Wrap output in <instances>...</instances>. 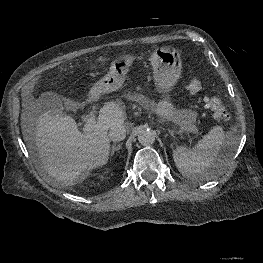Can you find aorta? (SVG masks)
<instances>
[{
    "label": "aorta",
    "mask_w": 263,
    "mask_h": 263,
    "mask_svg": "<svg viewBox=\"0 0 263 263\" xmlns=\"http://www.w3.org/2000/svg\"><path fill=\"white\" fill-rule=\"evenodd\" d=\"M156 134L150 129H143L138 134V141L143 146H149L155 142Z\"/></svg>",
    "instance_id": "aorta-1"
}]
</instances>
